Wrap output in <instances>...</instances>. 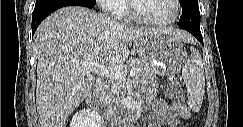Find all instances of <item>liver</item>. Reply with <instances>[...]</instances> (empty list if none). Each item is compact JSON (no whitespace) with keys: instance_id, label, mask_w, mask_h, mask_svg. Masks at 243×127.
Segmentation results:
<instances>
[{"instance_id":"liver-1","label":"liver","mask_w":243,"mask_h":127,"mask_svg":"<svg viewBox=\"0 0 243 127\" xmlns=\"http://www.w3.org/2000/svg\"><path fill=\"white\" fill-rule=\"evenodd\" d=\"M152 32H168L191 41L183 30L131 28L81 6L63 7L48 16L34 35L37 64L36 105L41 127H64L68 116L88 96L95 82L79 65L97 62L119 68L128 59V44Z\"/></svg>"}]
</instances>
